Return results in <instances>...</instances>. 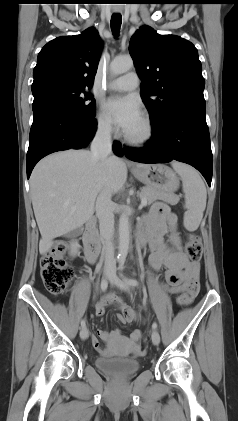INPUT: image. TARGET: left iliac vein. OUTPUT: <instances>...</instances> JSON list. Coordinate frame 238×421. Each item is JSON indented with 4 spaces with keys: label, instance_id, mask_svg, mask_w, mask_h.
Returning <instances> with one entry per match:
<instances>
[{
    "label": "left iliac vein",
    "instance_id": "left-iliac-vein-1",
    "mask_svg": "<svg viewBox=\"0 0 238 421\" xmlns=\"http://www.w3.org/2000/svg\"><path fill=\"white\" fill-rule=\"evenodd\" d=\"M108 279L111 284L116 285L120 289L124 291H129V286L125 282H123L116 274V268L113 266L109 273H108ZM152 343L154 345H158L160 343V335L157 330H153L151 334Z\"/></svg>",
    "mask_w": 238,
    "mask_h": 421
}]
</instances>
